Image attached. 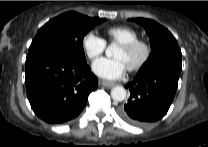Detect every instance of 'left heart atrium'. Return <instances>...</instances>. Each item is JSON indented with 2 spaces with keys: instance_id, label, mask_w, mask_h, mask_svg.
<instances>
[{
  "instance_id": "39dd6f15",
  "label": "left heart atrium",
  "mask_w": 208,
  "mask_h": 147,
  "mask_svg": "<svg viewBox=\"0 0 208 147\" xmlns=\"http://www.w3.org/2000/svg\"><path fill=\"white\" fill-rule=\"evenodd\" d=\"M96 75L107 80H115L122 77L128 67L120 58H100L92 64Z\"/></svg>"
}]
</instances>
